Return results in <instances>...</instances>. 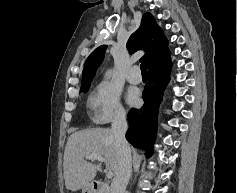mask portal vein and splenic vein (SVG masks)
Masks as SVG:
<instances>
[{
    "label": "portal vein and splenic vein",
    "mask_w": 237,
    "mask_h": 193,
    "mask_svg": "<svg viewBox=\"0 0 237 193\" xmlns=\"http://www.w3.org/2000/svg\"><path fill=\"white\" fill-rule=\"evenodd\" d=\"M85 158H86V159H89V160H99L100 162H104V161H105L104 158H103V156L98 155V154L86 155ZM113 175H114V174H113L112 171L106 172L107 178H112Z\"/></svg>",
    "instance_id": "portal-vein-and-splenic-vein-1"
}]
</instances>
